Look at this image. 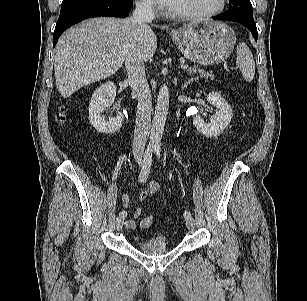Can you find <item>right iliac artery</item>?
Here are the masks:
<instances>
[{
  "label": "right iliac artery",
  "mask_w": 307,
  "mask_h": 301,
  "mask_svg": "<svg viewBox=\"0 0 307 301\" xmlns=\"http://www.w3.org/2000/svg\"><path fill=\"white\" fill-rule=\"evenodd\" d=\"M154 149L155 148L153 147H148L145 151L142 168L139 174V181L142 183L146 182L148 178L150 168H151V162H152V153ZM119 216L122 218H125L127 216V212L123 210L119 213Z\"/></svg>",
  "instance_id": "obj_1"
}]
</instances>
